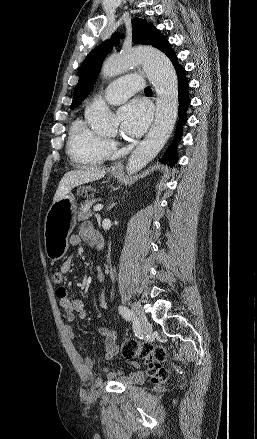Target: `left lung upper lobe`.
Listing matches in <instances>:
<instances>
[{
	"mask_svg": "<svg viewBox=\"0 0 257 439\" xmlns=\"http://www.w3.org/2000/svg\"><path fill=\"white\" fill-rule=\"evenodd\" d=\"M132 28V40L136 44L152 45L162 52L170 45L164 36L145 19L134 18ZM119 40L120 35L115 33L111 39L106 40L87 55L79 71V81L74 90L71 109L77 107L90 93L98 77L103 60L112 50L113 45L117 46L119 44Z\"/></svg>",
	"mask_w": 257,
	"mask_h": 439,
	"instance_id": "left-lung-upper-lobe-1",
	"label": "left lung upper lobe"
}]
</instances>
